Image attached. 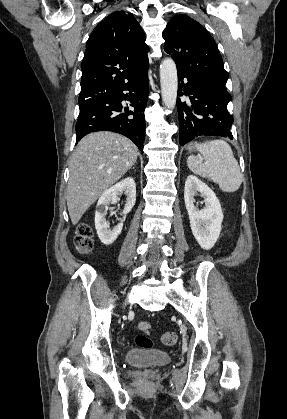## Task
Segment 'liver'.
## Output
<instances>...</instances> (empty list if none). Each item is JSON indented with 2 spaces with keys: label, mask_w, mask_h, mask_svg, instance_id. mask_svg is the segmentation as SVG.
<instances>
[{
  "label": "liver",
  "mask_w": 287,
  "mask_h": 419,
  "mask_svg": "<svg viewBox=\"0 0 287 419\" xmlns=\"http://www.w3.org/2000/svg\"><path fill=\"white\" fill-rule=\"evenodd\" d=\"M136 145L117 133L88 134L70 158L67 207L76 225L86 210L136 162Z\"/></svg>",
  "instance_id": "6515ba94"
}]
</instances>
